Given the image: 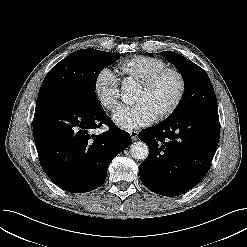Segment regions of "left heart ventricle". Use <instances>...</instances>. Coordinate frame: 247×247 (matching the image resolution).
Segmentation results:
<instances>
[{
	"instance_id": "left-heart-ventricle-1",
	"label": "left heart ventricle",
	"mask_w": 247,
	"mask_h": 247,
	"mask_svg": "<svg viewBox=\"0 0 247 247\" xmlns=\"http://www.w3.org/2000/svg\"><path fill=\"white\" fill-rule=\"evenodd\" d=\"M179 88L178 77L174 73H166L149 88L138 86L133 101L147 103L158 116L173 103Z\"/></svg>"
}]
</instances>
